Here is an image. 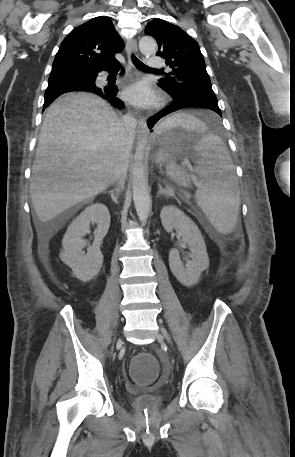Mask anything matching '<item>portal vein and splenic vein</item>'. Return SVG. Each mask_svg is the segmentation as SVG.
<instances>
[{"label": "portal vein and splenic vein", "instance_id": "obj_1", "mask_svg": "<svg viewBox=\"0 0 295 457\" xmlns=\"http://www.w3.org/2000/svg\"><path fill=\"white\" fill-rule=\"evenodd\" d=\"M191 171L193 172V170H192V169H191ZM193 179H194V181H195V182L197 181L195 178H193Z\"/></svg>", "mask_w": 295, "mask_h": 457}]
</instances>
